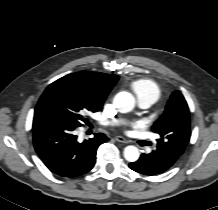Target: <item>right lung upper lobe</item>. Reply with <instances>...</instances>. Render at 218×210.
Listing matches in <instances>:
<instances>
[{"label": "right lung upper lobe", "instance_id": "obj_1", "mask_svg": "<svg viewBox=\"0 0 218 210\" xmlns=\"http://www.w3.org/2000/svg\"><path fill=\"white\" fill-rule=\"evenodd\" d=\"M118 78L119 76L113 74L82 71L68 74L55 82L70 91L84 96L101 109L107 95L118 81Z\"/></svg>", "mask_w": 218, "mask_h": 210}]
</instances>
